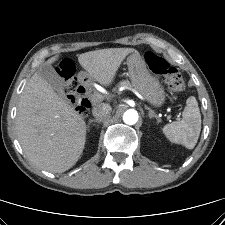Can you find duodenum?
<instances>
[{
	"instance_id": "duodenum-1",
	"label": "duodenum",
	"mask_w": 225,
	"mask_h": 225,
	"mask_svg": "<svg viewBox=\"0 0 225 225\" xmlns=\"http://www.w3.org/2000/svg\"><path fill=\"white\" fill-rule=\"evenodd\" d=\"M88 82V79L84 76V75H81L80 76V81H79V85L81 87V90H82V95L87 98V90H86V87L85 85L87 84Z\"/></svg>"
}]
</instances>
